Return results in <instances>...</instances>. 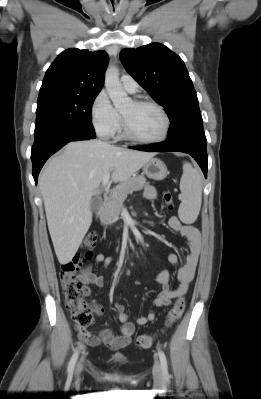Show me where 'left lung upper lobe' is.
<instances>
[{"instance_id":"obj_1","label":"left lung upper lobe","mask_w":261,"mask_h":399,"mask_svg":"<svg viewBox=\"0 0 261 399\" xmlns=\"http://www.w3.org/2000/svg\"><path fill=\"white\" fill-rule=\"evenodd\" d=\"M127 72L165 109L170 120L168 140L204 131L198 98L182 59L160 43L123 49Z\"/></svg>"}]
</instances>
